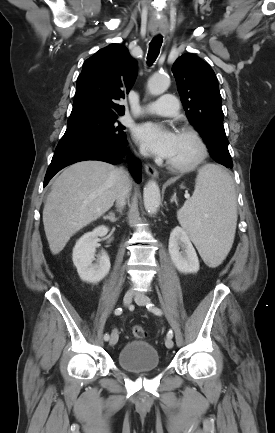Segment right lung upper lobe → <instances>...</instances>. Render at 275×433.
<instances>
[{"label":"right lung upper lobe","mask_w":275,"mask_h":433,"mask_svg":"<svg viewBox=\"0 0 275 433\" xmlns=\"http://www.w3.org/2000/svg\"><path fill=\"white\" fill-rule=\"evenodd\" d=\"M137 68V62L121 44H111L97 51L85 61L77 79L70 118L123 115L124 106L116 102L129 93Z\"/></svg>","instance_id":"obj_1"}]
</instances>
